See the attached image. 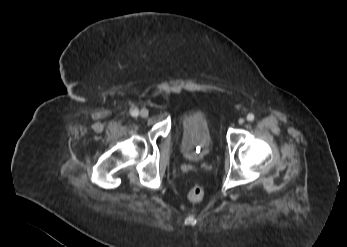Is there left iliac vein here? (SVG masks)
Wrapping results in <instances>:
<instances>
[{
	"mask_svg": "<svg viewBox=\"0 0 347 247\" xmlns=\"http://www.w3.org/2000/svg\"><path fill=\"white\" fill-rule=\"evenodd\" d=\"M244 119L243 118H240L239 120H238V123L240 124V125H242L243 123H244Z\"/></svg>",
	"mask_w": 347,
	"mask_h": 247,
	"instance_id": "left-iliac-vein-1",
	"label": "left iliac vein"
}]
</instances>
